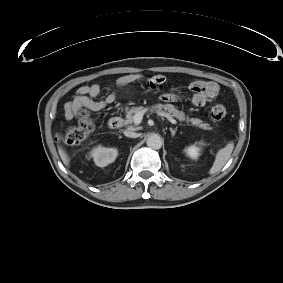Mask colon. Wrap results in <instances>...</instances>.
I'll return each mask as SVG.
<instances>
[{
    "label": "colon",
    "instance_id": "1",
    "mask_svg": "<svg viewBox=\"0 0 283 283\" xmlns=\"http://www.w3.org/2000/svg\"><path fill=\"white\" fill-rule=\"evenodd\" d=\"M226 115L227 110L221 104H215L209 110V116L213 121H221ZM94 127L92 117L87 112H82L77 124L58 135V140L66 144H78L93 132Z\"/></svg>",
    "mask_w": 283,
    "mask_h": 283
}]
</instances>
